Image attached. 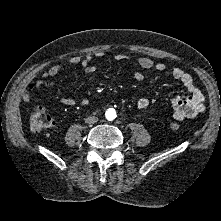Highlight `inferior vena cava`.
<instances>
[{"instance_id":"602c4592","label":"inferior vena cava","mask_w":221,"mask_h":221,"mask_svg":"<svg viewBox=\"0 0 221 221\" xmlns=\"http://www.w3.org/2000/svg\"><path fill=\"white\" fill-rule=\"evenodd\" d=\"M98 121V118L95 116H89L85 119V123L87 124H94Z\"/></svg>"}]
</instances>
